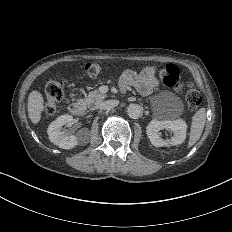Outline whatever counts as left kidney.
I'll list each match as a JSON object with an SVG mask.
<instances>
[{
    "label": "left kidney",
    "instance_id": "left-kidney-1",
    "mask_svg": "<svg viewBox=\"0 0 232 232\" xmlns=\"http://www.w3.org/2000/svg\"><path fill=\"white\" fill-rule=\"evenodd\" d=\"M169 129L173 132L170 139H162L159 131ZM188 125L182 118L173 120H154L147 126V135L155 147L177 146L185 141Z\"/></svg>",
    "mask_w": 232,
    "mask_h": 232
}]
</instances>
